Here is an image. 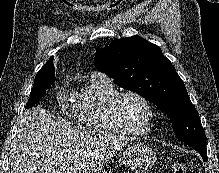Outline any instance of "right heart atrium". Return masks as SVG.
Returning a JSON list of instances; mask_svg holds the SVG:
<instances>
[{"mask_svg": "<svg viewBox=\"0 0 219 173\" xmlns=\"http://www.w3.org/2000/svg\"><path fill=\"white\" fill-rule=\"evenodd\" d=\"M57 99L61 105H64L66 103V92L64 87H60V89L58 90Z\"/></svg>", "mask_w": 219, "mask_h": 173, "instance_id": "d8ad5b80", "label": "right heart atrium"}]
</instances>
